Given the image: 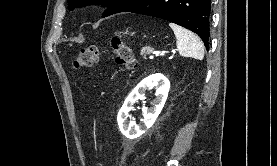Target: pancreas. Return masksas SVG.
<instances>
[{"instance_id":"cf45deb5","label":"pancreas","mask_w":277,"mask_h":166,"mask_svg":"<svg viewBox=\"0 0 277 166\" xmlns=\"http://www.w3.org/2000/svg\"><path fill=\"white\" fill-rule=\"evenodd\" d=\"M152 51L153 49L151 47H143L141 50V56L145 58L146 55Z\"/></svg>"}]
</instances>
